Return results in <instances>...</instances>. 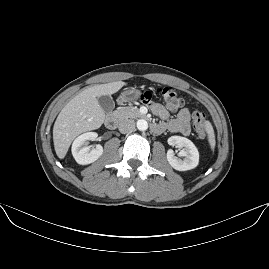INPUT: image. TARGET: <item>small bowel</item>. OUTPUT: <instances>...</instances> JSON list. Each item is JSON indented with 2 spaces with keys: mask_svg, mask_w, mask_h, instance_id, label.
<instances>
[{
  "mask_svg": "<svg viewBox=\"0 0 269 269\" xmlns=\"http://www.w3.org/2000/svg\"><path fill=\"white\" fill-rule=\"evenodd\" d=\"M151 107L153 112L160 118H168V113L161 104L153 103ZM190 118V110L188 108H183L177 113L175 118L168 121L167 123L158 124L157 128L154 130L156 133H160L164 129H168L171 132L180 133L184 136H187L191 131Z\"/></svg>",
  "mask_w": 269,
  "mask_h": 269,
  "instance_id": "1",
  "label": "small bowel"
}]
</instances>
